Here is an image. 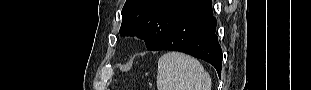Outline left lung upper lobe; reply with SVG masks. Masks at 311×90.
<instances>
[{
  "instance_id": "5c2ea615",
  "label": "left lung upper lobe",
  "mask_w": 311,
  "mask_h": 90,
  "mask_svg": "<svg viewBox=\"0 0 311 90\" xmlns=\"http://www.w3.org/2000/svg\"><path fill=\"white\" fill-rule=\"evenodd\" d=\"M203 0H126L122 9V36H138L151 50L170 27Z\"/></svg>"
}]
</instances>
